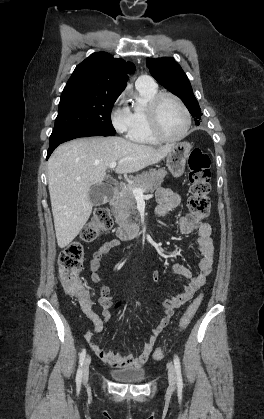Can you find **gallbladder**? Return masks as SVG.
<instances>
[{"label": "gallbladder", "instance_id": "bac80fb5", "mask_svg": "<svg viewBox=\"0 0 264 419\" xmlns=\"http://www.w3.org/2000/svg\"><path fill=\"white\" fill-rule=\"evenodd\" d=\"M110 187L108 185H95L89 191V198L93 205L98 206L105 202Z\"/></svg>", "mask_w": 264, "mask_h": 419}]
</instances>
